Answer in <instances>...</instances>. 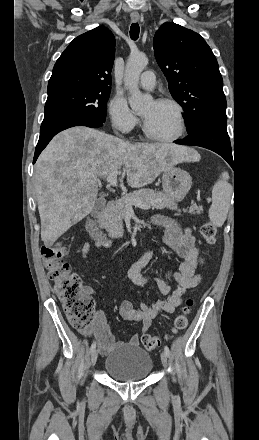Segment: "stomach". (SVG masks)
Listing matches in <instances>:
<instances>
[{"label": "stomach", "mask_w": 259, "mask_h": 440, "mask_svg": "<svg viewBox=\"0 0 259 440\" xmlns=\"http://www.w3.org/2000/svg\"><path fill=\"white\" fill-rule=\"evenodd\" d=\"M192 185V177L188 172L177 167L163 171L162 188L164 193L176 202L182 201Z\"/></svg>", "instance_id": "stomach-1"}]
</instances>
